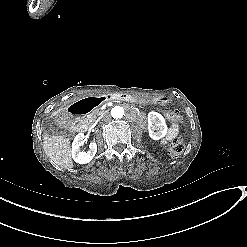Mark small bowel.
<instances>
[{"instance_id": "small-bowel-1", "label": "small bowel", "mask_w": 247, "mask_h": 247, "mask_svg": "<svg viewBox=\"0 0 247 247\" xmlns=\"http://www.w3.org/2000/svg\"><path fill=\"white\" fill-rule=\"evenodd\" d=\"M179 134V124L175 121L169 128L166 136L162 139L163 144L173 141Z\"/></svg>"}]
</instances>
